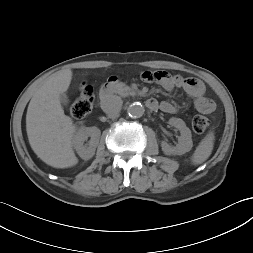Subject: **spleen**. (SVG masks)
Instances as JSON below:
<instances>
[{"instance_id":"spleen-1","label":"spleen","mask_w":253,"mask_h":253,"mask_svg":"<svg viewBox=\"0 0 253 253\" xmlns=\"http://www.w3.org/2000/svg\"><path fill=\"white\" fill-rule=\"evenodd\" d=\"M214 139H215V136H214L213 131L209 132L202 139V141L197 146L191 158V161L194 165H199L209 158L213 150Z\"/></svg>"}]
</instances>
